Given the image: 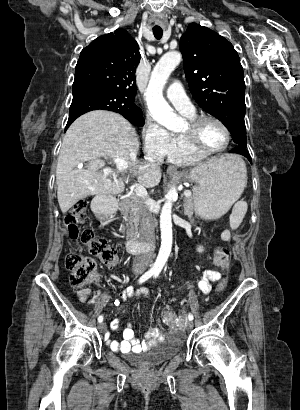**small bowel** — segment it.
Segmentation results:
<instances>
[{
  "label": "small bowel",
  "mask_w": 300,
  "mask_h": 410,
  "mask_svg": "<svg viewBox=\"0 0 300 410\" xmlns=\"http://www.w3.org/2000/svg\"><path fill=\"white\" fill-rule=\"evenodd\" d=\"M223 239H229L230 234L228 231H224L222 233ZM221 274L220 272L212 269L204 270L202 276L198 282L199 291L203 294H209L212 290V283L216 282L220 279ZM96 282H99V278H96ZM138 296H148V292L146 290H140L138 292L134 291L133 288L129 287L125 291L120 294V298L122 300H126L132 297ZM78 299L81 302H87L89 305H97V310L100 311L104 306V302L101 299V295L98 291H92L90 288H82L78 291ZM120 325V320H114L111 323V329L113 331L117 330ZM107 342L110 348L113 351H121V352H128V351H141L144 350L157 341L161 340L162 333L161 330L157 327L151 328L145 335V338L140 341L136 338L134 329L131 324H127L123 329V340L122 341H115L111 340L109 334H106Z\"/></svg>",
  "instance_id": "1"
}]
</instances>
